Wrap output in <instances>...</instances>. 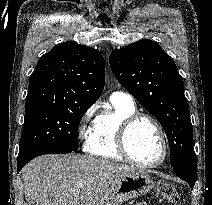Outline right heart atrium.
<instances>
[{"mask_svg":"<svg viewBox=\"0 0 212 205\" xmlns=\"http://www.w3.org/2000/svg\"><path fill=\"white\" fill-rule=\"evenodd\" d=\"M94 111H95L94 106L88 108L81 118V121L78 126V138L80 140L87 141L92 131L94 121H95Z\"/></svg>","mask_w":212,"mask_h":205,"instance_id":"right-heart-atrium-1","label":"right heart atrium"}]
</instances>
